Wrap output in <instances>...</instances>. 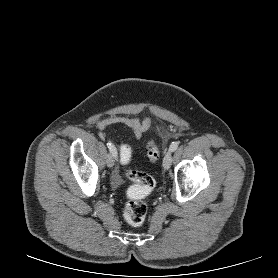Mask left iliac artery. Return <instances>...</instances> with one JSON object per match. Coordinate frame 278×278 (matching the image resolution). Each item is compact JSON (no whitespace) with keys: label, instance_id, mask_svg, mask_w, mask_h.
Listing matches in <instances>:
<instances>
[{"label":"left iliac artery","instance_id":"44dca946","mask_svg":"<svg viewBox=\"0 0 278 278\" xmlns=\"http://www.w3.org/2000/svg\"><path fill=\"white\" fill-rule=\"evenodd\" d=\"M178 146H179V142H177V141L172 142L170 147H169V151H171V152L175 151L178 148Z\"/></svg>","mask_w":278,"mask_h":278}]
</instances>
